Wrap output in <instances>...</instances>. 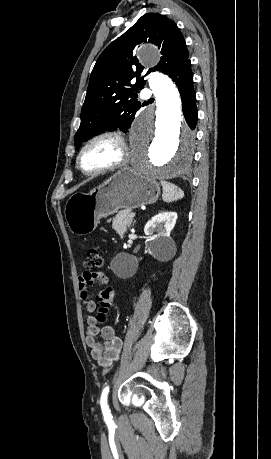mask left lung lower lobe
<instances>
[{
	"label": "left lung lower lobe",
	"instance_id": "1",
	"mask_svg": "<svg viewBox=\"0 0 271 459\" xmlns=\"http://www.w3.org/2000/svg\"><path fill=\"white\" fill-rule=\"evenodd\" d=\"M169 77L175 82L181 95L183 114L189 127L194 130L197 124L198 111L196 94L193 88V73L191 61L184 60Z\"/></svg>",
	"mask_w": 271,
	"mask_h": 459
}]
</instances>
